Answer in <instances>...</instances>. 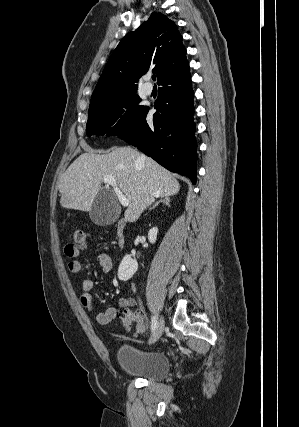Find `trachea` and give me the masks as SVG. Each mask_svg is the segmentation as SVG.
I'll list each match as a JSON object with an SVG mask.
<instances>
[{
  "mask_svg": "<svg viewBox=\"0 0 299 427\" xmlns=\"http://www.w3.org/2000/svg\"><path fill=\"white\" fill-rule=\"evenodd\" d=\"M152 79L155 81V80H156V76H155V75H152Z\"/></svg>",
  "mask_w": 299,
  "mask_h": 427,
  "instance_id": "trachea-1",
  "label": "trachea"
}]
</instances>
